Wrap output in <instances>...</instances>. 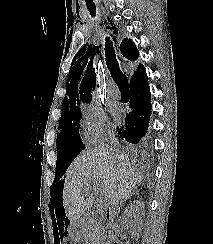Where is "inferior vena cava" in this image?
I'll use <instances>...</instances> for the list:
<instances>
[{
	"mask_svg": "<svg viewBox=\"0 0 213 244\" xmlns=\"http://www.w3.org/2000/svg\"><path fill=\"white\" fill-rule=\"evenodd\" d=\"M114 140L116 141L117 139L115 138ZM114 148L116 149V144L115 143H114ZM118 205H119V201H114V202L108 204V207L112 210V213H115V210L118 207Z\"/></svg>",
	"mask_w": 213,
	"mask_h": 244,
	"instance_id": "inferior-vena-cava-1",
	"label": "inferior vena cava"
}]
</instances>
